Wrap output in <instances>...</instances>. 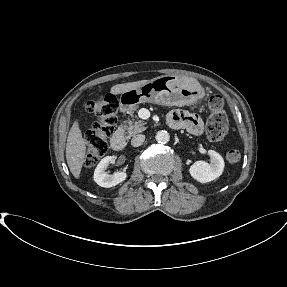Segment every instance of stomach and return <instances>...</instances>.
<instances>
[{"mask_svg":"<svg viewBox=\"0 0 287 287\" xmlns=\"http://www.w3.org/2000/svg\"><path fill=\"white\" fill-rule=\"evenodd\" d=\"M203 96V89L189 78L162 75L142 86L121 93L120 110L129 113L140 103H156L165 106L193 105Z\"/></svg>","mask_w":287,"mask_h":287,"instance_id":"1","label":"stomach"}]
</instances>
